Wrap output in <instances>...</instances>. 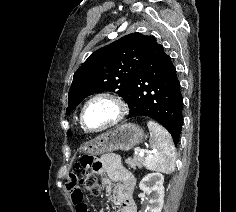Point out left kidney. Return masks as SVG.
Wrapping results in <instances>:
<instances>
[{
    "instance_id": "left-kidney-1",
    "label": "left kidney",
    "mask_w": 236,
    "mask_h": 212,
    "mask_svg": "<svg viewBox=\"0 0 236 212\" xmlns=\"http://www.w3.org/2000/svg\"><path fill=\"white\" fill-rule=\"evenodd\" d=\"M164 177L160 173H150L139 183V188L151 194L149 199V212H161L164 204Z\"/></svg>"
}]
</instances>
